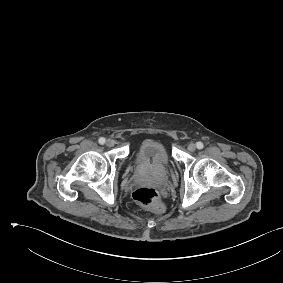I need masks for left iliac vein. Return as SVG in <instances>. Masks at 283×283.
<instances>
[{
  "label": "left iliac vein",
  "mask_w": 283,
  "mask_h": 283,
  "mask_svg": "<svg viewBox=\"0 0 283 283\" xmlns=\"http://www.w3.org/2000/svg\"><path fill=\"white\" fill-rule=\"evenodd\" d=\"M187 148L190 152H193L196 149V145L194 143H190Z\"/></svg>",
  "instance_id": "4c4485c4"
}]
</instances>
